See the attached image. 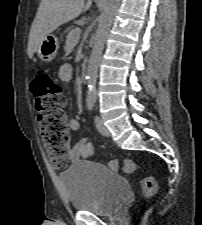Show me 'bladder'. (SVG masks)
Listing matches in <instances>:
<instances>
[{"instance_id":"1","label":"bladder","mask_w":202,"mask_h":225,"mask_svg":"<svg viewBox=\"0 0 202 225\" xmlns=\"http://www.w3.org/2000/svg\"><path fill=\"white\" fill-rule=\"evenodd\" d=\"M61 181L72 210L100 216L116 213L131 190L123 175L88 159L72 164Z\"/></svg>"}]
</instances>
